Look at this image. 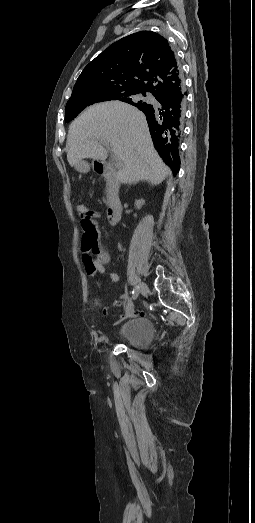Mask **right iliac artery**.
Returning <instances> with one entry per match:
<instances>
[{
	"label": "right iliac artery",
	"mask_w": 255,
	"mask_h": 523,
	"mask_svg": "<svg viewBox=\"0 0 255 523\" xmlns=\"http://www.w3.org/2000/svg\"><path fill=\"white\" fill-rule=\"evenodd\" d=\"M139 294V286L134 287L132 291V298L135 299Z\"/></svg>",
	"instance_id": "obj_1"
}]
</instances>
